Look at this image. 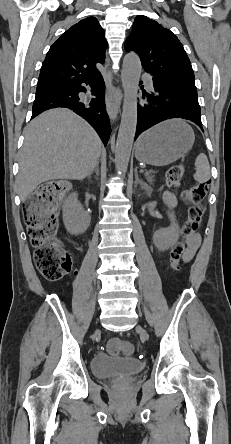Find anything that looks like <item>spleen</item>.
I'll list each match as a JSON object with an SVG mask.
<instances>
[{
  "mask_svg": "<svg viewBox=\"0 0 231 444\" xmlns=\"http://www.w3.org/2000/svg\"><path fill=\"white\" fill-rule=\"evenodd\" d=\"M195 166L196 173L194 174V179L197 182L203 183L210 179V166L205 154L200 153L197 156Z\"/></svg>",
  "mask_w": 231,
  "mask_h": 444,
  "instance_id": "spleen-1",
  "label": "spleen"
}]
</instances>
